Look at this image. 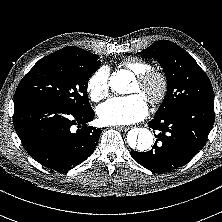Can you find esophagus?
Here are the masks:
<instances>
[{
	"label": "esophagus",
	"instance_id": "esophagus-1",
	"mask_svg": "<svg viewBox=\"0 0 222 222\" xmlns=\"http://www.w3.org/2000/svg\"><path fill=\"white\" fill-rule=\"evenodd\" d=\"M118 129L121 130V131L126 132V131L129 130V127L128 126H120V127H118Z\"/></svg>",
	"mask_w": 222,
	"mask_h": 222
}]
</instances>
